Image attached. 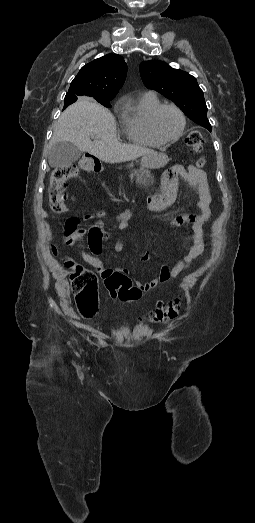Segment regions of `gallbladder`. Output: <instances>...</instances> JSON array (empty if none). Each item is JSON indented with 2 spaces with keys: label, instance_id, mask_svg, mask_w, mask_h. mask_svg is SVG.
Segmentation results:
<instances>
[{
  "label": "gallbladder",
  "instance_id": "bac80fb5",
  "mask_svg": "<svg viewBox=\"0 0 255 523\" xmlns=\"http://www.w3.org/2000/svg\"><path fill=\"white\" fill-rule=\"evenodd\" d=\"M82 154L72 142H56L49 150L48 160L51 168H65L72 166Z\"/></svg>",
  "mask_w": 255,
  "mask_h": 523
}]
</instances>
